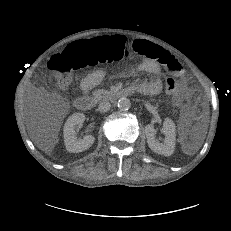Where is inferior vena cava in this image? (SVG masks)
Segmentation results:
<instances>
[{
  "mask_svg": "<svg viewBox=\"0 0 231 231\" xmlns=\"http://www.w3.org/2000/svg\"><path fill=\"white\" fill-rule=\"evenodd\" d=\"M111 107L110 102L108 101H102L100 102L99 106H98V110L101 113L107 112Z\"/></svg>",
  "mask_w": 231,
  "mask_h": 231,
  "instance_id": "1",
  "label": "inferior vena cava"
}]
</instances>
